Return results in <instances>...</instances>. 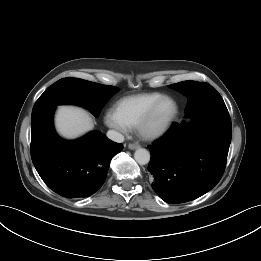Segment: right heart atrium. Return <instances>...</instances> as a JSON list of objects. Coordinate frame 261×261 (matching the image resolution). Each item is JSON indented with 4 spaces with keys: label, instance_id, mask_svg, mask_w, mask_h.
Instances as JSON below:
<instances>
[{
    "label": "right heart atrium",
    "instance_id": "obj_1",
    "mask_svg": "<svg viewBox=\"0 0 261 261\" xmlns=\"http://www.w3.org/2000/svg\"><path fill=\"white\" fill-rule=\"evenodd\" d=\"M104 121L108 127L120 135L129 133L131 127L120 118L114 109H109L104 114Z\"/></svg>",
    "mask_w": 261,
    "mask_h": 261
}]
</instances>
